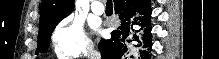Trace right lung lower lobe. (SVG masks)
<instances>
[{
	"label": "right lung lower lobe",
	"mask_w": 219,
	"mask_h": 59,
	"mask_svg": "<svg viewBox=\"0 0 219 59\" xmlns=\"http://www.w3.org/2000/svg\"><path fill=\"white\" fill-rule=\"evenodd\" d=\"M115 11L119 14L121 25L118 30L111 33L108 40L102 39L99 43V50L102 59H121L127 52V45L131 39L143 43L141 57L148 59L151 43V7L149 0H114ZM139 24L140 31H135L133 25ZM136 32H141L136 35Z\"/></svg>",
	"instance_id": "98d812e1"
}]
</instances>
